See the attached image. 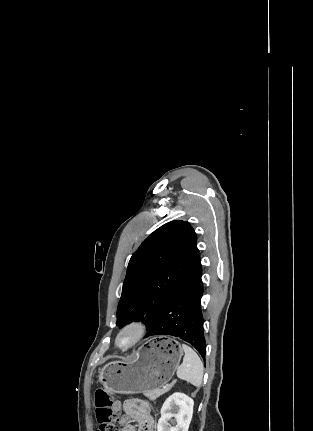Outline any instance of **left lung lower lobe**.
Here are the masks:
<instances>
[{"label":"left lung lower lobe","mask_w":313,"mask_h":431,"mask_svg":"<svg viewBox=\"0 0 313 431\" xmlns=\"http://www.w3.org/2000/svg\"><path fill=\"white\" fill-rule=\"evenodd\" d=\"M202 267L163 306L145 337L171 335L190 343L205 360L206 344L200 299Z\"/></svg>","instance_id":"obj_1"}]
</instances>
